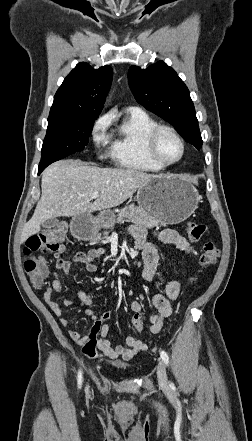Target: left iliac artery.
I'll use <instances>...</instances> for the list:
<instances>
[{
	"label": "left iliac artery",
	"instance_id": "44dca946",
	"mask_svg": "<svg viewBox=\"0 0 252 441\" xmlns=\"http://www.w3.org/2000/svg\"><path fill=\"white\" fill-rule=\"evenodd\" d=\"M160 356H161L162 360L164 361V363H165L166 365H168V363H169V357H168V354H167L165 351H161V352H160Z\"/></svg>",
	"mask_w": 252,
	"mask_h": 441
}]
</instances>
